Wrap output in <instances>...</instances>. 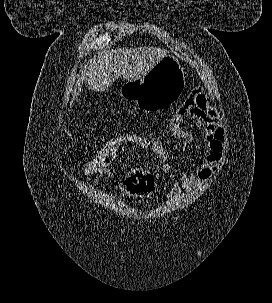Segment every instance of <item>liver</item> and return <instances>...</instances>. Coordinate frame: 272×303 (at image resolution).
Wrapping results in <instances>:
<instances>
[{
	"instance_id": "obj_1",
	"label": "liver",
	"mask_w": 272,
	"mask_h": 303,
	"mask_svg": "<svg viewBox=\"0 0 272 303\" xmlns=\"http://www.w3.org/2000/svg\"><path fill=\"white\" fill-rule=\"evenodd\" d=\"M166 55L159 47L105 50L87 64L85 80L91 90L105 91L121 76L127 81L144 77Z\"/></svg>"
}]
</instances>
